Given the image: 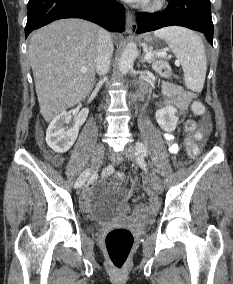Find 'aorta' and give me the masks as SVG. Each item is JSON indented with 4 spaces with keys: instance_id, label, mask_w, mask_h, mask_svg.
Segmentation results:
<instances>
[{
    "instance_id": "1",
    "label": "aorta",
    "mask_w": 233,
    "mask_h": 284,
    "mask_svg": "<svg viewBox=\"0 0 233 284\" xmlns=\"http://www.w3.org/2000/svg\"><path fill=\"white\" fill-rule=\"evenodd\" d=\"M138 55V48L134 42L125 46L119 59V70L122 74H127L133 67L134 60Z\"/></svg>"
}]
</instances>
